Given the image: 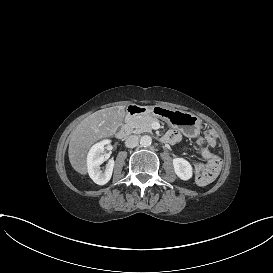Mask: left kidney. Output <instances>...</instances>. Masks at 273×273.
<instances>
[{"instance_id":"1","label":"left kidney","mask_w":273,"mask_h":273,"mask_svg":"<svg viewBox=\"0 0 273 273\" xmlns=\"http://www.w3.org/2000/svg\"><path fill=\"white\" fill-rule=\"evenodd\" d=\"M174 172L183 181H188L193 177V168L189 161L181 157L173 159Z\"/></svg>"}]
</instances>
